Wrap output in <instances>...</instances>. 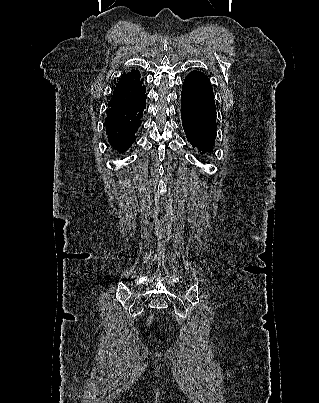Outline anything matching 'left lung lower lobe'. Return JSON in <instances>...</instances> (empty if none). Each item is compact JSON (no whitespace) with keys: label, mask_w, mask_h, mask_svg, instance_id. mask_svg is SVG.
Returning a JSON list of instances; mask_svg holds the SVG:
<instances>
[{"label":"left lung lower lobe","mask_w":319,"mask_h":403,"mask_svg":"<svg viewBox=\"0 0 319 403\" xmlns=\"http://www.w3.org/2000/svg\"><path fill=\"white\" fill-rule=\"evenodd\" d=\"M181 118L193 148L203 154L211 152L216 136V106L210 80L200 71L190 72L183 82Z\"/></svg>","instance_id":"0a47b994"}]
</instances>
